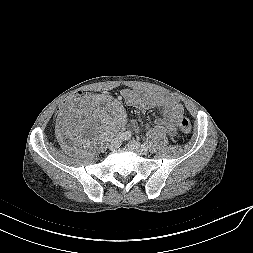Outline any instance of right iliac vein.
Returning a JSON list of instances; mask_svg holds the SVG:
<instances>
[{
  "label": "right iliac vein",
  "instance_id": "1",
  "mask_svg": "<svg viewBox=\"0 0 253 253\" xmlns=\"http://www.w3.org/2000/svg\"><path fill=\"white\" fill-rule=\"evenodd\" d=\"M122 143V138L119 136L110 144V149L115 150L117 149Z\"/></svg>",
  "mask_w": 253,
  "mask_h": 253
}]
</instances>
